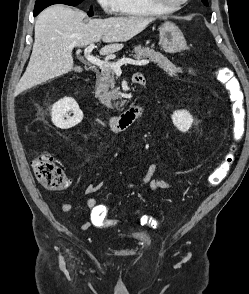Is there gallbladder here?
I'll use <instances>...</instances> for the list:
<instances>
[{
    "instance_id": "1",
    "label": "gallbladder",
    "mask_w": 249,
    "mask_h": 294,
    "mask_svg": "<svg viewBox=\"0 0 249 294\" xmlns=\"http://www.w3.org/2000/svg\"><path fill=\"white\" fill-rule=\"evenodd\" d=\"M75 70H76V71H80L81 69H80L79 67H76Z\"/></svg>"
}]
</instances>
